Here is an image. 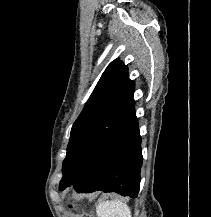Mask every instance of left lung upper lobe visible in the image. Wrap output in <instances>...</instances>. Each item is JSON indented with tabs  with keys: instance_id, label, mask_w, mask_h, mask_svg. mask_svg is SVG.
Returning a JSON list of instances; mask_svg holds the SVG:
<instances>
[{
	"instance_id": "1",
	"label": "left lung upper lobe",
	"mask_w": 211,
	"mask_h": 217,
	"mask_svg": "<svg viewBox=\"0 0 211 217\" xmlns=\"http://www.w3.org/2000/svg\"><path fill=\"white\" fill-rule=\"evenodd\" d=\"M134 89L127 66L112 61L72 126L59 188L74 180L100 147L135 117Z\"/></svg>"
}]
</instances>
